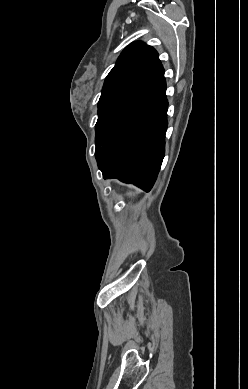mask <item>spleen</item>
Wrapping results in <instances>:
<instances>
[{"label": "spleen", "mask_w": 248, "mask_h": 389, "mask_svg": "<svg viewBox=\"0 0 248 389\" xmlns=\"http://www.w3.org/2000/svg\"><path fill=\"white\" fill-rule=\"evenodd\" d=\"M128 195H129V196H132V195H134V193H133V192H129Z\"/></svg>", "instance_id": "obj_1"}]
</instances>
